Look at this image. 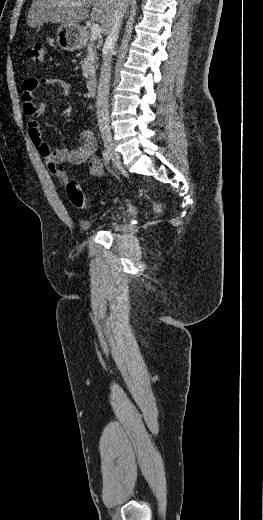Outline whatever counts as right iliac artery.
Returning a JSON list of instances; mask_svg holds the SVG:
<instances>
[{
	"instance_id": "right-iliac-artery-1",
	"label": "right iliac artery",
	"mask_w": 263,
	"mask_h": 520,
	"mask_svg": "<svg viewBox=\"0 0 263 520\" xmlns=\"http://www.w3.org/2000/svg\"><path fill=\"white\" fill-rule=\"evenodd\" d=\"M103 158L106 165L110 163V156L105 150L103 151Z\"/></svg>"
}]
</instances>
